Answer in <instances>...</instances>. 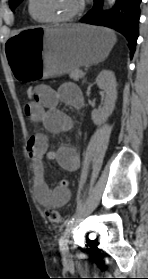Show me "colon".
<instances>
[{"instance_id":"5ec220e1","label":"colon","mask_w":148,"mask_h":279,"mask_svg":"<svg viewBox=\"0 0 148 279\" xmlns=\"http://www.w3.org/2000/svg\"><path fill=\"white\" fill-rule=\"evenodd\" d=\"M36 96H37L36 87H34V86L28 87L26 90V97L29 100H34V98ZM45 213H46V216L49 219V221H51L53 223H61L64 220V217L62 216V214L54 208H47Z\"/></svg>"}]
</instances>
